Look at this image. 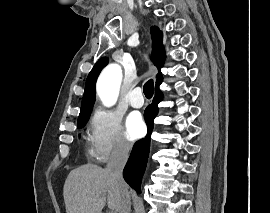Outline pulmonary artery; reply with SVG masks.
Here are the masks:
<instances>
[{
  "label": "pulmonary artery",
  "mask_w": 270,
  "mask_h": 213,
  "mask_svg": "<svg viewBox=\"0 0 270 213\" xmlns=\"http://www.w3.org/2000/svg\"><path fill=\"white\" fill-rule=\"evenodd\" d=\"M129 102H130L131 106L135 107V108H141L143 106L144 98L142 95V91L139 87L135 88L131 91L130 97H129Z\"/></svg>",
  "instance_id": "obj_1"
}]
</instances>
